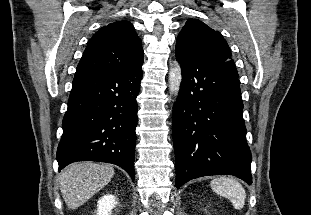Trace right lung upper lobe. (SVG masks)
<instances>
[{
	"label": "right lung upper lobe",
	"instance_id": "cb5924a9",
	"mask_svg": "<svg viewBox=\"0 0 311 215\" xmlns=\"http://www.w3.org/2000/svg\"><path fill=\"white\" fill-rule=\"evenodd\" d=\"M143 64L141 39L126 20L100 28L89 40L77 70L132 71Z\"/></svg>",
	"mask_w": 311,
	"mask_h": 215
}]
</instances>
